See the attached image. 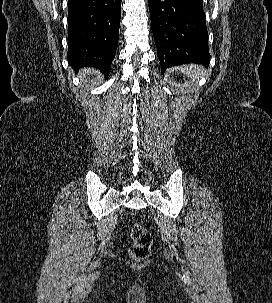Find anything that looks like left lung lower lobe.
<instances>
[{
  "label": "left lung lower lobe",
  "instance_id": "0a47b994",
  "mask_svg": "<svg viewBox=\"0 0 272 303\" xmlns=\"http://www.w3.org/2000/svg\"><path fill=\"white\" fill-rule=\"evenodd\" d=\"M161 71L195 62L208 66V32L203 0H148Z\"/></svg>",
  "mask_w": 272,
  "mask_h": 303
}]
</instances>
